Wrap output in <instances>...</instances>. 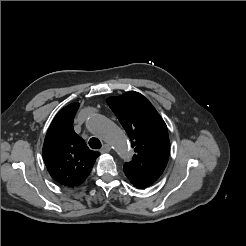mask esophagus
<instances>
[{
    "label": "esophagus",
    "instance_id": "obj_1",
    "mask_svg": "<svg viewBox=\"0 0 246 246\" xmlns=\"http://www.w3.org/2000/svg\"><path fill=\"white\" fill-rule=\"evenodd\" d=\"M110 150H111L110 145L104 144L102 149H101V153H108Z\"/></svg>",
    "mask_w": 246,
    "mask_h": 246
}]
</instances>
